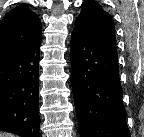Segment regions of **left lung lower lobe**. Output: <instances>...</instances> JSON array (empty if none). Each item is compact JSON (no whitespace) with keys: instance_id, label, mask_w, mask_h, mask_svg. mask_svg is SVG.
Returning a JSON list of instances; mask_svg holds the SVG:
<instances>
[{"instance_id":"1","label":"left lung lower lobe","mask_w":144,"mask_h":137,"mask_svg":"<svg viewBox=\"0 0 144 137\" xmlns=\"http://www.w3.org/2000/svg\"><path fill=\"white\" fill-rule=\"evenodd\" d=\"M71 84L81 137H130L122 102L116 45L75 26Z\"/></svg>"}]
</instances>
